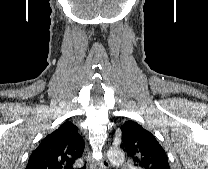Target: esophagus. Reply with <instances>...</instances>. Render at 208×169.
Here are the masks:
<instances>
[{
  "label": "esophagus",
  "mask_w": 208,
  "mask_h": 169,
  "mask_svg": "<svg viewBox=\"0 0 208 169\" xmlns=\"http://www.w3.org/2000/svg\"><path fill=\"white\" fill-rule=\"evenodd\" d=\"M110 164L106 158H103L98 163H93L90 165L91 169H109Z\"/></svg>",
  "instance_id": "1"
}]
</instances>
